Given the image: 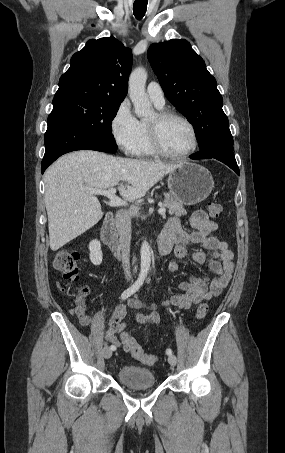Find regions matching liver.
Wrapping results in <instances>:
<instances>
[{"label": "liver", "instance_id": "1", "mask_svg": "<svg viewBox=\"0 0 285 453\" xmlns=\"http://www.w3.org/2000/svg\"><path fill=\"white\" fill-rule=\"evenodd\" d=\"M178 166L90 150L62 156L44 174L51 250L63 247L103 217L95 194L83 188L107 189L118 185L124 199L135 200L145 196L150 188ZM121 181L127 185L120 184Z\"/></svg>", "mask_w": 285, "mask_h": 453}]
</instances>
